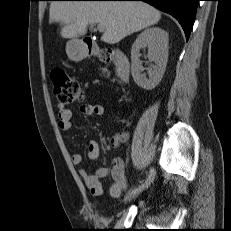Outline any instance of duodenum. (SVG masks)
Returning a JSON list of instances; mask_svg holds the SVG:
<instances>
[{
	"label": "duodenum",
	"instance_id": "duodenum-1",
	"mask_svg": "<svg viewBox=\"0 0 231 231\" xmlns=\"http://www.w3.org/2000/svg\"><path fill=\"white\" fill-rule=\"evenodd\" d=\"M80 49L86 56H97L100 54L99 47L90 38L83 39ZM110 57L115 63L118 79L120 81H126L129 76V65L125 60L124 55L120 51L114 50Z\"/></svg>",
	"mask_w": 231,
	"mask_h": 231
}]
</instances>
